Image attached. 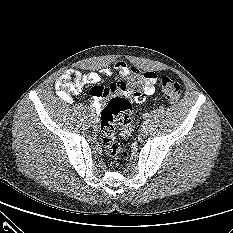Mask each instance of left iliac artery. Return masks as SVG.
<instances>
[{"label": "left iliac artery", "instance_id": "44dca946", "mask_svg": "<svg viewBox=\"0 0 233 233\" xmlns=\"http://www.w3.org/2000/svg\"><path fill=\"white\" fill-rule=\"evenodd\" d=\"M143 118H144V119L149 118V114H148V113L143 114Z\"/></svg>", "mask_w": 233, "mask_h": 233}]
</instances>
